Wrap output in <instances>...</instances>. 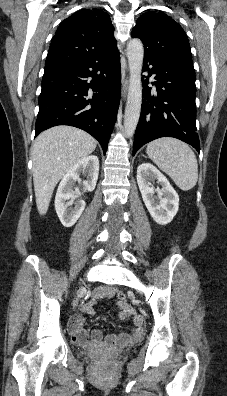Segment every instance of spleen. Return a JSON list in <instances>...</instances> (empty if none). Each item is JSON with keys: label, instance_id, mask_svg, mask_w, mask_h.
<instances>
[{"label": "spleen", "instance_id": "3e777b00", "mask_svg": "<svg viewBox=\"0 0 227 396\" xmlns=\"http://www.w3.org/2000/svg\"><path fill=\"white\" fill-rule=\"evenodd\" d=\"M151 160L184 191L192 189L198 180V163L194 152L175 138H160L147 145Z\"/></svg>", "mask_w": 227, "mask_h": 396}]
</instances>
